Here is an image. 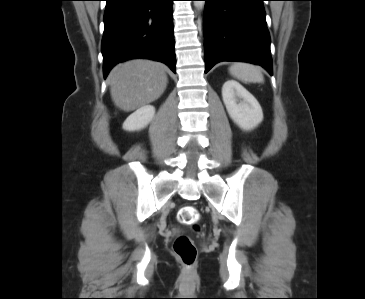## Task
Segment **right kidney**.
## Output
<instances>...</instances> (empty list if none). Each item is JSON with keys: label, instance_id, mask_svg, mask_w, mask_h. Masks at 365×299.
<instances>
[{"label": "right kidney", "instance_id": "right-kidney-1", "mask_svg": "<svg viewBox=\"0 0 365 299\" xmlns=\"http://www.w3.org/2000/svg\"><path fill=\"white\" fill-rule=\"evenodd\" d=\"M155 108L152 105H145L132 113L123 123L126 131L141 130L146 127L153 119Z\"/></svg>", "mask_w": 365, "mask_h": 299}]
</instances>
